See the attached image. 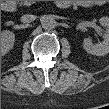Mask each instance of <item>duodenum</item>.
Returning <instances> with one entry per match:
<instances>
[{"instance_id":"410a0bca","label":"duodenum","mask_w":109,"mask_h":109,"mask_svg":"<svg viewBox=\"0 0 109 109\" xmlns=\"http://www.w3.org/2000/svg\"><path fill=\"white\" fill-rule=\"evenodd\" d=\"M70 2L68 1H58V5L61 7V8H67L70 6ZM2 8L5 10V11H10L11 8H12V4L10 2H4L2 4Z\"/></svg>"}]
</instances>
